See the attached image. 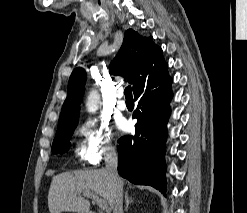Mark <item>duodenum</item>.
I'll return each mask as SVG.
<instances>
[{
    "mask_svg": "<svg viewBox=\"0 0 247 213\" xmlns=\"http://www.w3.org/2000/svg\"><path fill=\"white\" fill-rule=\"evenodd\" d=\"M88 213H95V212H92V211H91V212H88Z\"/></svg>",
    "mask_w": 247,
    "mask_h": 213,
    "instance_id": "1",
    "label": "duodenum"
}]
</instances>
